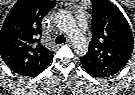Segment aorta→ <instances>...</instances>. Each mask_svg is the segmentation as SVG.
Here are the masks:
<instances>
[{
  "mask_svg": "<svg viewBox=\"0 0 135 95\" xmlns=\"http://www.w3.org/2000/svg\"><path fill=\"white\" fill-rule=\"evenodd\" d=\"M78 37L79 38L78 39L76 38V40H79V41H75V43H78V44H75V48H77L78 50L83 51L85 49V47H86V45H85V42H86L85 38L82 37V35H80Z\"/></svg>",
  "mask_w": 135,
  "mask_h": 95,
  "instance_id": "1",
  "label": "aorta"
}]
</instances>
